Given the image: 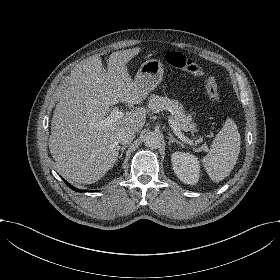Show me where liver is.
Masks as SVG:
<instances>
[{
  "label": "liver",
  "mask_w": 280,
  "mask_h": 280,
  "mask_svg": "<svg viewBox=\"0 0 280 280\" xmlns=\"http://www.w3.org/2000/svg\"><path fill=\"white\" fill-rule=\"evenodd\" d=\"M139 48L114 52L106 70L99 57L86 60L67 78L66 89L55 107L49 148L56 166L76 183L91 184L103 177L117 160L120 146L116 133L139 131L147 110L125 113L110 125L98 122L112 113L114 104H138L146 94L135 87L124 70Z\"/></svg>",
  "instance_id": "liver-1"
}]
</instances>
